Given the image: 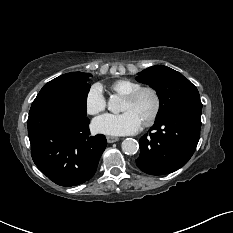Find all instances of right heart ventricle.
<instances>
[{
	"label": "right heart ventricle",
	"mask_w": 233,
	"mask_h": 233,
	"mask_svg": "<svg viewBox=\"0 0 233 233\" xmlns=\"http://www.w3.org/2000/svg\"><path fill=\"white\" fill-rule=\"evenodd\" d=\"M140 86H141V84H139V83H137L135 81H132V80H129V79H119V80L114 81L110 85V89L115 94L124 97L127 94H129L132 91L139 88Z\"/></svg>",
	"instance_id": "right-heart-ventricle-1"
}]
</instances>
